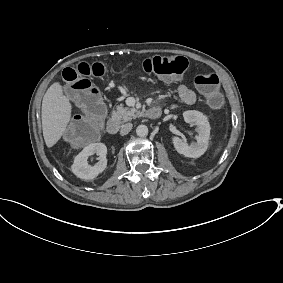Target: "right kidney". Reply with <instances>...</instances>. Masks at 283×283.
Returning <instances> with one entry per match:
<instances>
[{"instance_id":"1","label":"right kidney","mask_w":283,"mask_h":283,"mask_svg":"<svg viewBox=\"0 0 283 283\" xmlns=\"http://www.w3.org/2000/svg\"><path fill=\"white\" fill-rule=\"evenodd\" d=\"M107 148L103 143H91L79 152L73 159L71 171L83 180H92L101 174L107 166ZM97 154L99 162L93 166H88V157Z\"/></svg>"}]
</instances>
